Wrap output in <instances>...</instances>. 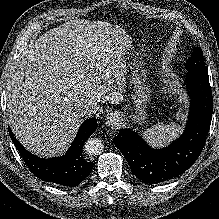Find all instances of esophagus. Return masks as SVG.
Wrapping results in <instances>:
<instances>
[{
    "label": "esophagus",
    "mask_w": 219,
    "mask_h": 219,
    "mask_svg": "<svg viewBox=\"0 0 219 219\" xmlns=\"http://www.w3.org/2000/svg\"><path fill=\"white\" fill-rule=\"evenodd\" d=\"M119 116L116 112H109L105 117L108 126H116L119 123Z\"/></svg>",
    "instance_id": "obj_1"
}]
</instances>
